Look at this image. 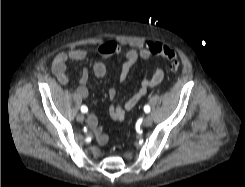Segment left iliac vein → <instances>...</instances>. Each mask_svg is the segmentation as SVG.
<instances>
[{"label": "left iliac vein", "instance_id": "1", "mask_svg": "<svg viewBox=\"0 0 245 187\" xmlns=\"http://www.w3.org/2000/svg\"><path fill=\"white\" fill-rule=\"evenodd\" d=\"M152 122H153V119L150 115H147L143 120L144 126H150Z\"/></svg>", "mask_w": 245, "mask_h": 187}]
</instances>
